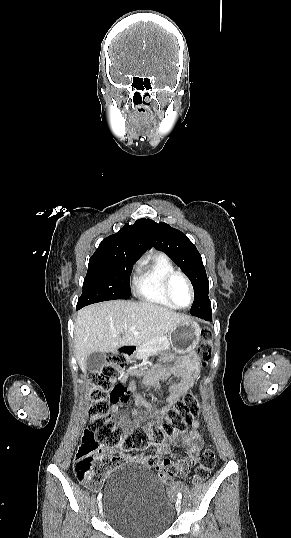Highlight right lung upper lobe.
Masks as SVG:
<instances>
[{"label":"right lung upper lobe","instance_id":"right-lung-upper-lobe-1","mask_svg":"<svg viewBox=\"0 0 291 538\" xmlns=\"http://www.w3.org/2000/svg\"><path fill=\"white\" fill-rule=\"evenodd\" d=\"M151 247L147 220L138 219L133 225L125 224L116 234L108 236L93 255L128 256L139 258Z\"/></svg>","mask_w":291,"mask_h":538}]
</instances>
